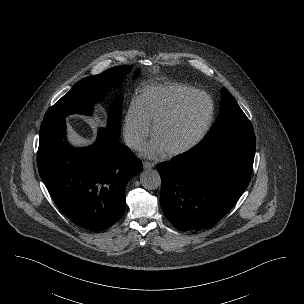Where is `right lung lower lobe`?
<instances>
[{"label":"right lung lower lobe","mask_w":304,"mask_h":304,"mask_svg":"<svg viewBox=\"0 0 304 304\" xmlns=\"http://www.w3.org/2000/svg\"><path fill=\"white\" fill-rule=\"evenodd\" d=\"M38 170L52 199L74 224L105 230L125 212L127 182L142 162L108 128L90 147L76 149L65 139V119L41 124Z\"/></svg>","instance_id":"right-lung-lower-lobe-1"}]
</instances>
